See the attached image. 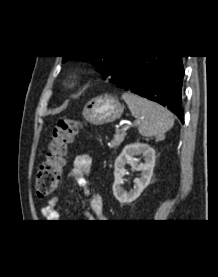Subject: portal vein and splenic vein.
I'll use <instances>...</instances> for the list:
<instances>
[{"mask_svg": "<svg viewBox=\"0 0 218 277\" xmlns=\"http://www.w3.org/2000/svg\"><path fill=\"white\" fill-rule=\"evenodd\" d=\"M129 127H130L129 125L124 126V127L122 128V131H126Z\"/></svg>", "mask_w": 218, "mask_h": 277, "instance_id": "18ae733b", "label": "portal vein and splenic vein"}]
</instances>
